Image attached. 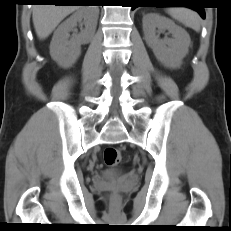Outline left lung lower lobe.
<instances>
[{
	"label": "left lung lower lobe",
	"mask_w": 231,
	"mask_h": 231,
	"mask_svg": "<svg viewBox=\"0 0 231 231\" xmlns=\"http://www.w3.org/2000/svg\"><path fill=\"white\" fill-rule=\"evenodd\" d=\"M162 0H134V4L132 6V9H135L136 7H139V6H142V7H154L158 4V2H160ZM192 6H188L194 10H196L200 15L201 17L204 19L205 18V11H204V8L203 7H196L197 3L196 2H192L191 3Z\"/></svg>",
	"instance_id": "0a47b994"
}]
</instances>
